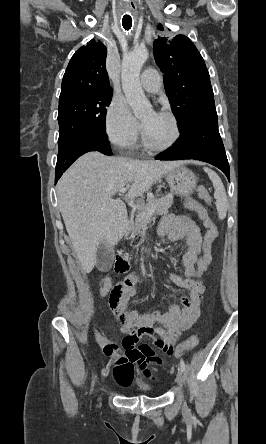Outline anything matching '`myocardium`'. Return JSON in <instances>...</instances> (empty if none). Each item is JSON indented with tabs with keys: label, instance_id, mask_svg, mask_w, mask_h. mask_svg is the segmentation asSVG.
Listing matches in <instances>:
<instances>
[{
	"label": "myocardium",
	"instance_id": "obj_1",
	"mask_svg": "<svg viewBox=\"0 0 266 444\" xmlns=\"http://www.w3.org/2000/svg\"><path fill=\"white\" fill-rule=\"evenodd\" d=\"M158 113L162 114L164 116H167L173 123L174 135H173L172 139L169 141V143L166 144L165 146L154 145L150 141V139L148 138L142 124H141V134H142L143 143L146 146V148H148L149 150L154 151V152H163V151L169 150L175 146V144L178 142V140L180 138L181 130H180V124H179L177 117L171 111L161 110Z\"/></svg>",
	"mask_w": 266,
	"mask_h": 444
}]
</instances>
